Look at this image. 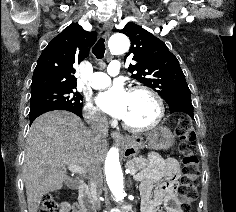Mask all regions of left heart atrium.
<instances>
[{"label":"left heart atrium","mask_w":236,"mask_h":212,"mask_svg":"<svg viewBox=\"0 0 236 212\" xmlns=\"http://www.w3.org/2000/svg\"><path fill=\"white\" fill-rule=\"evenodd\" d=\"M129 93L120 85H114L108 90L99 94L97 103L107 114L124 118L128 107Z\"/></svg>","instance_id":"1"}]
</instances>
